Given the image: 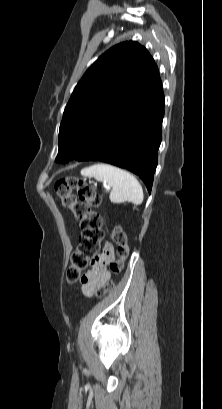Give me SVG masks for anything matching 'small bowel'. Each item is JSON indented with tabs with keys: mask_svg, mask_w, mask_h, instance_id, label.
<instances>
[{
	"mask_svg": "<svg viewBox=\"0 0 222 409\" xmlns=\"http://www.w3.org/2000/svg\"><path fill=\"white\" fill-rule=\"evenodd\" d=\"M115 259L114 247L105 243L103 253L100 256H91V269L81 277L82 293L87 297L95 295L97 289L111 279L108 271L109 261Z\"/></svg>",
	"mask_w": 222,
	"mask_h": 409,
	"instance_id": "small-bowel-1",
	"label": "small bowel"
}]
</instances>
